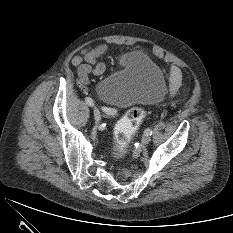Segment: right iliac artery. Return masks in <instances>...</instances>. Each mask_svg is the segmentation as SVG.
I'll return each mask as SVG.
<instances>
[{
  "label": "right iliac artery",
  "instance_id": "right-iliac-artery-1",
  "mask_svg": "<svg viewBox=\"0 0 233 233\" xmlns=\"http://www.w3.org/2000/svg\"><path fill=\"white\" fill-rule=\"evenodd\" d=\"M85 102L89 106H93L94 105V102H93L92 98H90V97H86ZM102 110L104 111V113L106 115H110V116H114L117 113L116 110L111 109V108H107V107H102Z\"/></svg>",
  "mask_w": 233,
  "mask_h": 233
}]
</instances>
